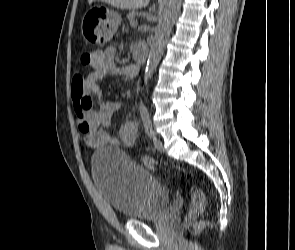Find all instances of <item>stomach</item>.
I'll return each instance as SVG.
<instances>
[{
  "instance_id": "0dacf381",
  "label": "stomach",
  "mask_w": 295,
  "mask_h": 250,
  "mask_svg": "<svg viewBox=\"0 0 295 250\" xmlns=\"http://www.w3.org/2000/svg\"><path fill=\"white\" fill-rule=\"evenodd\" d=\"M121 23V16L102 5L91 7L83 16L81 30L82 35L90 45H107L118 26Z\"/></svg>"
}]
</instances>
